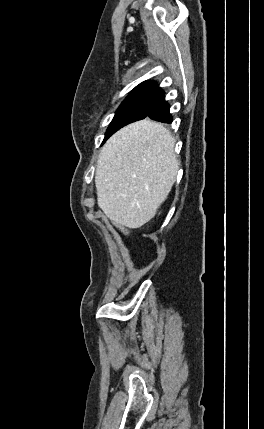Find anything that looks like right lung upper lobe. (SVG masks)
<instances>
[{
    "mask_svg": "<svg viewBox=\"0 0 264 429\" xmlns=\"http://www.w3.org/2000/svg\"><path fill=\"white\" fill-rule=\"evenodd\" d=\"M139 88H159V87H158L157 83L154 81H144L141 84H139L138 86H136L134 89H139Z\"/></svg>",
    "mask_w": 264,
    "mask_h": 429,
    "instance_id": "right-lung-upper-lobe-1",
    "label": "right lung upper lobe"
}]
</instances>
